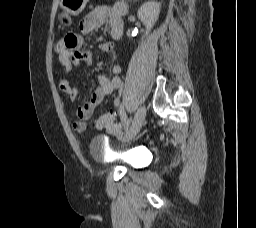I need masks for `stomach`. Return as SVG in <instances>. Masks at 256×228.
Wrapping results in <instances>:
<instances>
[{"label":"stomach","mask_w":256,"mask_h":228,"mask_svg":"<svg viewBox=\"0 0 256 228\" xmlns=\"http://www.w3.org/2000/svg\"><path fill=\"white\" fill-rule=\"evenodd\" d=\"M89 0H61L62 13L58 17L60 25L69 27L72 23L71 16L82 12Z\"/></svg>","instance_id":"stomach-1"}]
</instances>
